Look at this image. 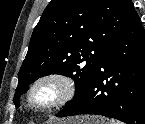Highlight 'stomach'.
Wrapping results in <instances>:
<instances>
[{
  "label": "stomach",
  "instance_id": "0dacf381",
  "mask_svg": "<svg viewBox=\"0 0 145 124\" xmlns=\"http://www.w3.org/2000/svg\"><path fill=\"white\" fill-rule=\"evenodd\" d=\"M57 122L56 124H108L103 118L97 116L72 117Z\"/></svg>",
  "mask_w": 145,
  "mask_h": 124
}]
</instances>
